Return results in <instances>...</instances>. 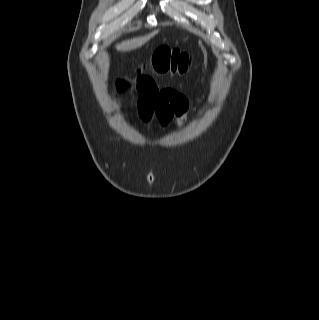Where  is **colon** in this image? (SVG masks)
Returning a JSON list of instances; mask_svg holds the SVG:
<instances>
[{
    "label": "colon",
    "mask_w": 319,
    "mask_h": 320,
    "mask_svg": "<svg viewBox=\"0 0 319 320\" xmlns=\"http://www.w3.org/2000/svg\"><path fill=\"white\" fill-rule=\"evenodd\" d=\"M190 66L191 56L188 53L178 49L161 47L143 64L139 72L142 73L145 70H153L162 74L184 75L189 71ZM140 116L145 123H150L154 118L147 114H140Z\"/></svg>",
    "instance_id": "5ec220e1"
}]
</instances>
